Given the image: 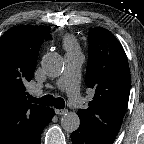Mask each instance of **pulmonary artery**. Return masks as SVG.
Masks as SVG:
<instances>
[{"instance_id": "obj_1", "label": "pulmonary artery", "mask_w": 144, "mask_h": 144, "mask_svg": "<svg viewBox=\"0 0 144 144\" xmlns=\"http://www.w3.org/2000/svg\"><path fill=\"white\" fill-rule=\"evenodd\" d=\"M65 68L57 80L58 88L67 92L69 102L74 107H82L84 99L79 91L80 71L84 61V57L79 52H68L65 55ZM34 94L41 93V90L36 88L32 90Z\"/></svg>"}]
</instances>
